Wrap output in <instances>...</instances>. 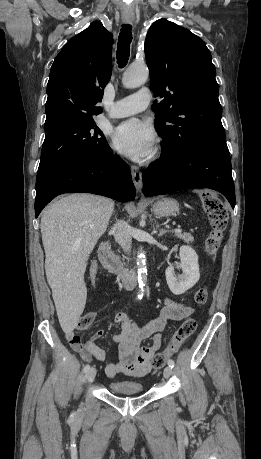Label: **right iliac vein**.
I'll return each mask as SVG.
<instances>
[{"label":"right iliac vein","instance_id":"1","mask_svg":"<svg viewBox=\"0 0 261 459\" xmlns=\"http://www.w3.org/2000/svg\"><path fill=\"white\" fill-rule=\"evenodd\" d=\"M95 376H96V369L92 367L86 372L85 379L86 381L90 382L95 378Z\"/></svg>","mask_w":261,"mask_h":459}]
</instances>
